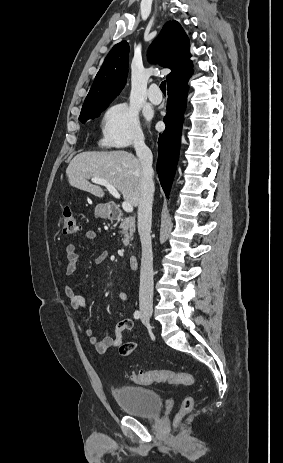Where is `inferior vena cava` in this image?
<instances>
[{"instance_id":"602c4592","label":"inferior vena cava","mask_w":283,"mask_h":463,"mask_svg":"<svg viewBox=\"0 0 283 463\" xmlns=\"http://www.w3.org/2000/svg\"><path fill=\"white\" fill-rule=\"evenodd\" d=\"M136 155L141 162L143 177L141 195L138 203V232L142 246L139 308L141 311H152L153 307V253L151 241L152 204L154 194L153 156L143 138L134 141Z\"/></svg>"}]
</instances>
